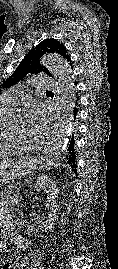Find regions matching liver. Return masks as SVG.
Wrapping results in <instances>:
<instances>
[{
    "instance_id": "1",
    "label": "liver",
    "mask_w": 118,
    "mask_h": 269,
    "mask_svg": "<svg viewBox=\"0 0 118 269\" xmlns=\"http://www.w3.org/2000/svg\"><path fill=\"white\" fill-rule=\"evenodd\" d=\"M9 164H11V161L0 163V167H4V166L9 165Z\"/></svg>"
}]
</instances>
